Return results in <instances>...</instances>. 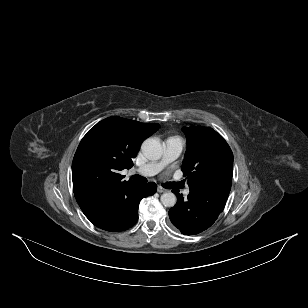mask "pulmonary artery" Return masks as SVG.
Segmentation results:
<instances>
[{"mask_svg": "<svg viewBox=\"0 0 308 308\" xmlns=\"http://www.w3.org/2000/svg\"><path fill=\"white\" fill-rule=\"evenodd\" d=\"M184 147L183 141L178 137H171L165 141L164 155L161 160L150 162L136 169V172L143 176H153L160 172L167 164L179 157ZM189 189L184 191L188 195Z\"/></svg>", "mask_w": 308, "mask_h": 308, "instance_id": "obj_1", "label": "pulmonary artery"}]
</instances>
